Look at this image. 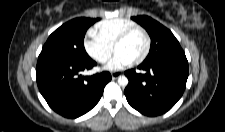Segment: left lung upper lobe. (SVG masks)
I'll use <instances>...</instances> for the list:
<instances>
[{"label": "left lung upper lobe", "mask_w": 225, "mask_h": 132, "mask_svg": "<svg viewBox=\"0 0 225 132\" xmlns=\"http://www.w3.org/2000/svg\"><path fill=\"white\" fill-rule=\"evenodd\" d=\"M132 19L143 26L151 37L150 51L143 63L186 57L178 40L169 29L148 16H137Z\"/></svg>", "instance_id": "obj_1"}]
</instances>
